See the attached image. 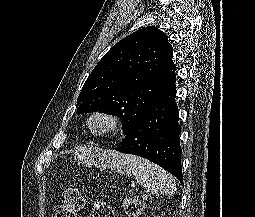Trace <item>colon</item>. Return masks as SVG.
Wrapping results in <instances>:
<instances>
[{
    "label": "colon",
    "mask_w": 255,
    "mask_h": 217,
    "mask_svg": "<svg viewBox=\"0 0 255 217\" xmlns=\"http://www.w3.org/2000/svg\"><path fill=\"white\" fill-rule=\"evenodd\" d=\"M84 203V197L77 189L68 188L63 192L61 203L53 209L52 217H75ZM123 209L127 217H139L143 203L138 197H128L123 202Z\"/></svg>",
    "instance_id": "5ec220e1"
}]
</instances>
